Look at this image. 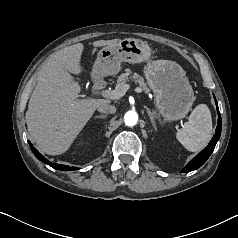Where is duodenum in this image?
Returning <instances> with one entry per match:
<instances>
[{
  "instance_id": "duodenum-1",
  "label": "duodenum",
  "mask_w": 238,
  "mask_h": 238,
  "mask_svg": "<svg viewBox=\"0 0 238 238\" xmlns=\"http://www.w3.org/2000/svg\"><path fill=\"white\" fill-rule=\"evenodd\" d=\"M96 85L98 86V87H102L103 86V82L102 81H100V80H96Z\"/></svg>"
}]
</instances>
